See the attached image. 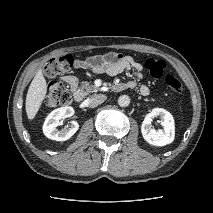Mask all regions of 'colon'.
<instances>
[{
	"label": "colon",
	"instance_id": "obj_1",
	"mask_svg": "<svg viewBox=\"0 0 213 213\" xmlns=\"http://www.w3.org/2000/svg\"><path fill=\"white\" fill-rule=\"evenodd\" d=\"M73 64L74 57L71 54L55 57L45 64L44 73L46 76L53 78L70 70ZM145 67L152 77L161 78L164 74L166 63L161 59L149 58L145 62ZM164 84L175 94H181L183 91L181 82L172 75L164 77ZM45 102L51 108L65 106L70 103L69 92L61 82L53 80L48 85Z\"/></svg>",
	"mask_w": 213,
	"mask_h": 213
}]
</instances>
